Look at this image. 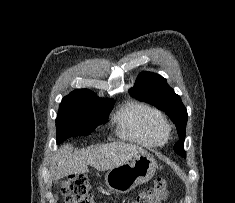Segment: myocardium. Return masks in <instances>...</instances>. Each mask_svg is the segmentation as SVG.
Masks as SVG:
<instances>
[{"instance_id":"f54148a6","label":"myocardium","mask_w":235,"mask_h":203,"mask_svg":"<svg viewBox=\"0 0 235 203\" xmlns=\"http://www.w3.org/2000/svg\"><path fill=\"white\" fill-rule=\"evenodd\" d=\"M165 127L167 128V130L169 129V124L167 122H165Z\"/></svg>"}]
</instances>
